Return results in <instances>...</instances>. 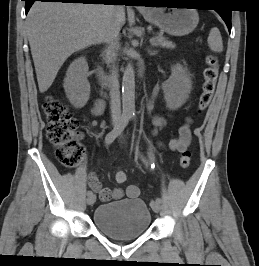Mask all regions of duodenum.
Returning a JSON list of instances; mask_svg holds the SVG:
<instances>
[{
	"label": "duodenum",
	"instance_id": "410a0bca",
	"mask_svg": "<svg viewBox=\"0 0 259 266\" xmlns=\"http://www.w3.org/2000/svg\"><path fill=\"white\" fill-rule=\"evenodd\" d=\"M143 71V67L140 65L139 69H138V75H141ZM99 76L100 79L102 80V82L106 83L109 82V77L107 75H105L101 70H99Z\"/></svg>",
	"mask_w": 259,
	"mask_h": 266
}]
</instances>
